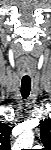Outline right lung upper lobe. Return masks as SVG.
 Instances as JSON below:
<instances>
[{
    "label": "right lung upper lobe",
    "mask_w": 51,
    "mask_h": 150,
    "mask_svg": "<svg viewBox=\"0 0 51 150\" xmlns=\"http://www.w3.org/2000/svg\"><path fill=\"white\" fill-rule=\"evenodd\" d=\"M10 128L0 123V150H10Z\"/></svg>",
    "instance_id": "obj_1"
}]
</instances>
